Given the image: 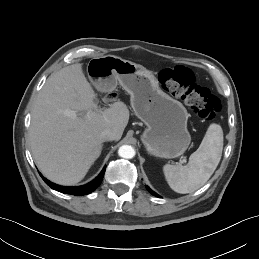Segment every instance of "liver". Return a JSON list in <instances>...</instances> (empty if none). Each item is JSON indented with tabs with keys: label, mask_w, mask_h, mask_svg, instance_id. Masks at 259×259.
Masks as SVG:
<instances>
[{
	"label": "liver",
	"mask_w": 259,
	"mask_h": 259,
	"mask_svg": "<svg viewBox=\"0 0 259 259\" xmlns=\"http://www.w3.org/2000/svg\"><path fill=\"white\" fill-rule=\"evenodd\" d=\"M95 92L77 63L53 73L32 109L29 140L38 169L52 182H80L100 156L105 129L119 140L129 120L123 102L97 110ZM97 110V111H94Z\"/></svg>",
	"instance_id": "6515ba94"
}]
</instances>
